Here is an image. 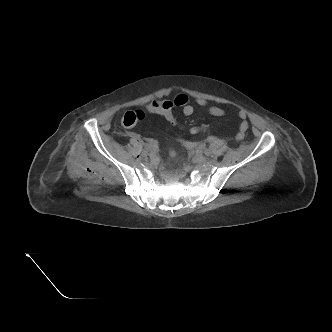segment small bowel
<instances>
[{"label": "small bowel", "instance_id": "small-bowel-1", "mask_svg": "<svg viewBox=\"0 0 332 332\" xmlns=\"http://www.w3.org/2000/svg\"><path fill=\"white\" fill-rule=\"evenodd\" d=\"M162 101L170 103L172 105V108H175V107L181 108L183 114L187 117L191 116L194 113V106L190 103L189 97L185 94H178L172 100L164 99ZM195 102L199 107L206 109V111L212 116L222 117L225 114L224 109H222L218 106H210L208 101L205 100L204 98H197L195 100ZM155 114H158L161 116V114L159 112L155 113ZM238 117L241 120V122L239 124L238 131L235 135V138L237 140H241L244 138V136L248 130L249 124L247 121V114L245 111H240L238 113ZM179 141L186 148H193L196 146V144L194 142H191V141L183 139V138H180Z\"/></svg>", "mask_w": 332, "mask_h": 332}]
</instances>
